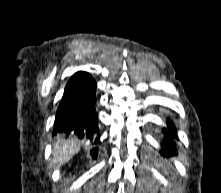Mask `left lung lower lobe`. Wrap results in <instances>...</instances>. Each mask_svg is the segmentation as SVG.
Returning <instances> with one entry per match:
<instances>
[{
	"label": "left lung lower lobe",
	"mask_w": 221,
	"mask_h": 193,
	"mask_svg": "<svg viewBox=\"0 0 221 193\" xmlns=\"http://www.w3.org/2000/svg\"><path fill=\"white\" fill-rule=\"evenodd\" d=\"M166 124H167L168 129L165 128L163 130L165 137L162 140L161 153L163 155H173L175 154V146H176L174 139L178 140L177 131H176L174 123L171 122L169 119L166 120ZM163 144H166V146H163Z\"/></svg>",
	"instance_id": "left-lung-lower-lobe-1"
}]
</instances>
